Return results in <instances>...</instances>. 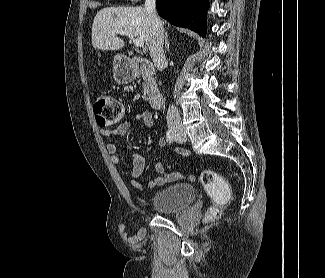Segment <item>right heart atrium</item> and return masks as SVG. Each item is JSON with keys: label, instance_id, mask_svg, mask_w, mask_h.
<instances>
[{"label": "right heart atrium", "instance_id": "right-heart-atrium-1", "mask_svg": "<svg viewBox=\"0 0 325 278\" xmlns=\"http://www.w3.org/2000/svg\"><path fill=\"white\" fill-rule=\"evenodd\" d=\"M131 1L137 2V1H139V0H131Z\"/></svg>", "mask_w": 325, "mask_h": 278}]
</instances>
